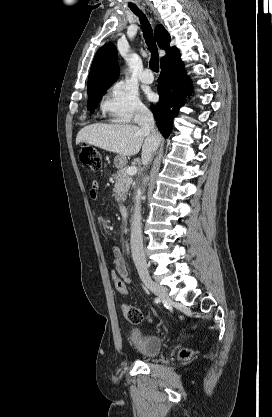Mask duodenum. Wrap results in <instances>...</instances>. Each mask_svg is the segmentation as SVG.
<instances>
[{"label": "duodenum", "mask_w": 272, "mask_h": 417, "mask_svg": "<svg viewBox=\"0 0 272 417\" xmlns=\"http://www.w3.org/2000/svg\"><path fill=\"white\" fill-rule=\"evenodd\" d=\"M120 213H121V215L124 219H127L128 218V213H129L128 207L126 205L120 206Z\"/></svg>", "instance_id": "obj_1"}]
</instances>
